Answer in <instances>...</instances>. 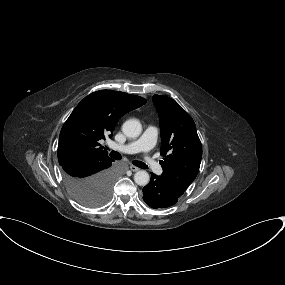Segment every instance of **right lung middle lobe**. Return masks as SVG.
<instances>
[{"label": "right lung middle lobe", "instance_id": "obj_1", "mask_svg": "<svg viewBox=\"0 0 285 285\" xmlns=\"http://www.w3.org/2000/svg\"><path fill=\"white\" fill-rule=\"evenodd\" d=\"M65 183L77 202L87 207H98L108 201L113 182L110 184L104 182L84 183L82 181Z\"/></svg>", "mask_w": 285, "mask_h": 285}]
</instances>
